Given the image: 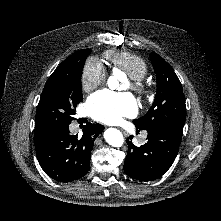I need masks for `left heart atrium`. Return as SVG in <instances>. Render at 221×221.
Returning <instances> with one entry per match:
<instances>
[{"mask_svg":"<svg viewBox=\"0 0 221 221\" xmlns=\"http://www.w3.org/2000/svg\"><path fill=\"white\" fill-rule=\"evenodd\" d=\"M89 115L102 123L115 124L123 117L134 116L137 104L130 93L100 90L91 95L86 104Z\"/></svg>","mask_w":221,"mask_h":221,"instance_id":"39dd6f15","label":"left heart atrium"}]
</instances>
